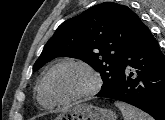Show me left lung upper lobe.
Here are the masks:
<instances>
[{"mask_svg":"<svg viewBox=\"0 0 165 120\" xmlns=\"http://www.w3.org/2000/svg\"><path fill=\"white\" fill-rule=\"evenodd\" d=\"M145 28L127 6L95 5L57 28L33 70L60 56L81 59L100 73L103 85L98 96L106 95L119 85L125 53Z\"/></svg>","mask_w":165,"mask_h":120,"instance_id":"1","label":"left lung upper lobe"}]
</instances>
